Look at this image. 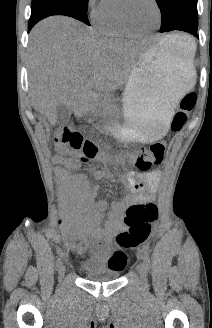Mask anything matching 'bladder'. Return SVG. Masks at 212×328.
I'll list each match as a JSON object with an SVG mask.
<instances>
[{
	"label": "bladder",
	"instance_id": "bladder-1",
	"mask_svg": "<svg viewBox=\"0 0 212 328\" xmlns=\"http://www.w3.org/2000/svg\"><path fill=\"white\" fill-rule=\"evenodd\" d=\"M80 269L87 279L96 282H109L117 279L118 271L103 268L94 260H87L80 264Z\"/></svg>",
	"mask_w": 212,
	"mask_h": 328
}]
</instances>
